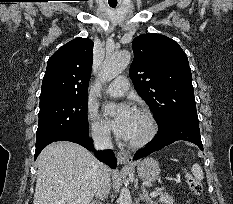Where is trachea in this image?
Listing matches in <instances>:
<instances>
[{
    "label": "trachea",
    "instance_id": "trachea-1",
    "mask_svg": "<svg viewBox=\"0 0 233 204\" xmlns=\"http://www.w3.org/2000/svg\"><path fill=\"white\" fill-rule=\"evenodd\" d=\"M111 7H115L116 5H110Z\"/></svg>",
    "mask_w": 233,
    "mask_h": 204
}]
</instances>
